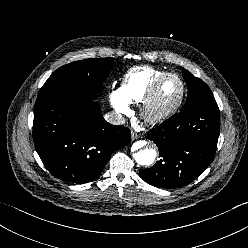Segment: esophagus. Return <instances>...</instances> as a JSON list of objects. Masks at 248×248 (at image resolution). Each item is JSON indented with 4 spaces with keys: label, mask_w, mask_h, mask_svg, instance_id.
Returning a JSON list of instances; mask_svg holds the SVG:
<instances>
[{
    "label": "esophagus",
    "mask_w": 248,
    "mask_h": 248,
    "mask_svg": "<svg viewBox=\"0 0 248 248\" xmlns=\"http://www.w3.org/2000/svg\"><path fill=\"white\" fill-rule=\"evenodd\" d=\"M138 138H140V135H139L138 133L132 131V132H131V139H132V140H136V139H138Z\"/></svg>",
    "instance_id": "1"
}]
</instances>
